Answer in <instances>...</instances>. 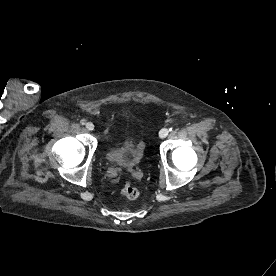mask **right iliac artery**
Listing matches in <instances>:
<instances>
[{
  "instance_id": "1",
  "label": "right iliac artery",
  "mask_w": 276,
  "mask_h": 276,
  "mask_svg": "<svg viewBox=\"0 0 276 276\" xmlns=\"http://www.w3.org/2000/svg\"><path fill=\"white\" fill-rule=\"evenodd\" d=\"M80 123H81V125H84V124L86 123V120H85V119H82V120L80 121Z\"/></svg>"
}]
</instances>
